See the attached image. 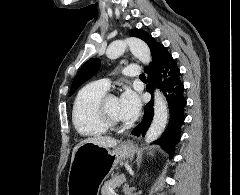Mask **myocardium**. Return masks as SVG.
<instances>
[{
  "label": "myocardium",
  "instance_id": "f54148a6",
  "mask_svg": "<svg viewBox=\"0 0 240 195\" xmlns=\"http://www.w3.org/2000/svg\"><path fill=\"white\" fill-rule=\"evenodd\" d=\"M116 97L114 94H106L100 101L99 114L102 122L107 128L120 130L125 129L123 121H119L114 118L109 109V102L112 98Z\"/></svg>",
  "mask_w": 240,
  "mask_h": 195
}]
</instances>
